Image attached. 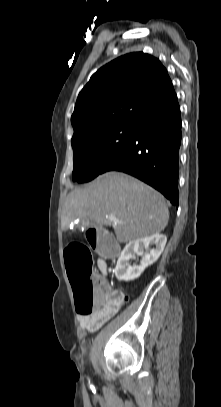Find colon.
I'll return each mask as SVG.
<instances>
[{"mask_svg":"<svg viewBox=\"0 0 221 407\" xmlns=\"http://www.w3.org/2000/svg\"><path fill=\"white\" fill-rule=\"evenodd\" d=\"M86 232L87 244L90 249H95L96 255H104L105 261H116L117 241L110 230H104L98 225H87ZM90 249L82 243L73 242L65 251L68 277L73 287L77 312L81 316L111 312L127 301L124 293L116 294L100 285L93 273Z\"/></svg>","mask_w":221,"mask_h":407,"instance_id":"1","label":"colon"}]
</instances>
